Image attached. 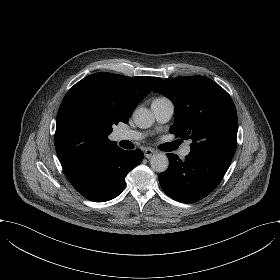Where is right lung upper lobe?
I'll return each instance as SVG.
<instances>
[{
    "mask_svg": "<svg viewBox=\"0 0 280 280\" xmlns=\"http://www.w3.org/2000/svg\"><path fill=\"white\" fill-rule=\"evenodd\" d=\"M161 80L100 72L67 92L57 114L55 148L68 177L88 158L118 148L112 126L127 123L138 103Z\"/></svg>",
    "mask_w": 280,
    "mask_h": 280,
    "instance_id": "right-lung-upper-lobe-1",
    "label": "right lung upper lobe"
}]
</instances>
